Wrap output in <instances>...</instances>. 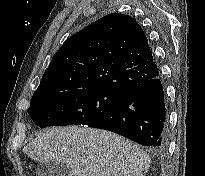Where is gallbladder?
Returning <instances> with one entry per match:
<instances>
[{"instance_id": "bac80fb5", "label": "gallbladder", "mask_w": 205, "mask_h": 176, "mask_svg": "<svg viewBox=\"0 0 205 176\" xmlns=\"http://www.w3.org/2000/svg\"><path fill=\"white\" fill-rule=\"evenodd\" d=\"M37 176H70L69 167L60 162H41L36 167Z\"/></svg>"}]
</instances>
